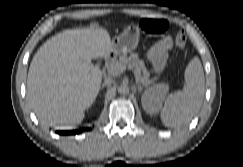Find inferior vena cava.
Wrapping results in <instances>:
<instances>
[{"instance_id": "inferior-vena-cava-1", "label": "inferior vena cava", "mask_w": 243, "mask_h": 167, "mask_svg": "<svg viewBox=\"0 0 243 167\" xmlns=\"http://www.w3.org/2000/svg\"><path fill=\"white\" fill-rule=\"evenodd\" d=\"M111 81H109V80H107L106 82H105V84H109Z\"/></svg>"}]
</instances>
